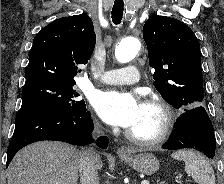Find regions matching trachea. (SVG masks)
Masks as SVG:
<instances>
[{"label":"trachea","mask_w":224,"mask_h":184,"mask_svg":"<svg viewBox=\"0 0 224 184\" xmlns=\"http://www.w3.org/2000/svg\"><path fill=\"white\" fill-rule=\"evenodd\" d=\"M124 3L123 0H115L112 9V21L115 25L121 23L123 17Z\"/></svg>","instance_id":"trachea-1"}]
</instances>
